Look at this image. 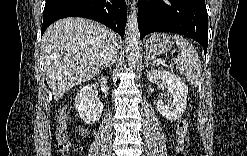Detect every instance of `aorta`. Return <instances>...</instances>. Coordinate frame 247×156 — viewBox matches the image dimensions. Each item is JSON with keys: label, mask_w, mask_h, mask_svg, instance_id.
<instances>
[{"label": "aorta", "mask_w": 247, "mask_h": 156, "mask_svg": "<svg viewBox=\"0 0 247 156\" xmlns=\"http://www.w3.org/2000/svg\"><path fill=\"white\" fill-rule=\"evenodd\" d=\"M126 56L129 65H135L138 61L140 32L137 20V2L133 1L128 16L125 32Z\"/></svg>", "instance_id": "762f6f07"}]
</instances>
